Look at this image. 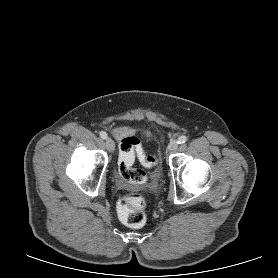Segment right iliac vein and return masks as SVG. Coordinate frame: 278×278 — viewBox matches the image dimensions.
Instances as JSON below:
<instances>
[{
	"mask_svg": "<svg viewBox=\"0 0 278 278\" xmlns=\"http://www.w3.org/2000/svg\"><path fill=\"white\" fill-rule=\"evenodd\" d=\"M105 144H106L107 149H108L110 152H113V151H114L115 144H114V142H113V140H112L111 138H107Z\"/></svg>",
	"mask_w": 278,
	"mask_h": 278,
	"instance_id": "obj_1",
	"label": "right iliac vein"
}]
</instances>
